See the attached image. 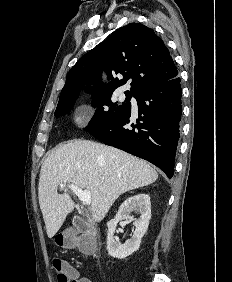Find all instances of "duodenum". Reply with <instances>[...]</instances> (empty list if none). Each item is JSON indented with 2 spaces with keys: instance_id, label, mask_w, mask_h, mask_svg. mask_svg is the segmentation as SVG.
I'll return each mask as SVG.
<instances>
[{
  "instance_id": "1",
  "label": "duodenum",
  "mask_w": 232,
  "mask_h": 282,
  "mask_svg": "<svg viewBox=\"0 0 232 282\" xmlns=\"http://www.w3.org/2000/svg\"><path fill=\"white\" fill-rule=\"evenodd\" d=\"M74 226L79 232L86 234L89 237L93 246H97V232L84 219L76 217L74 219Z\"/></svg>"
}]
</instances>
